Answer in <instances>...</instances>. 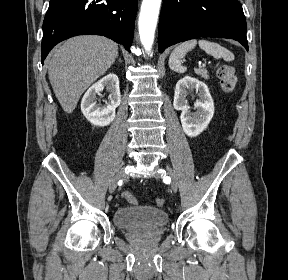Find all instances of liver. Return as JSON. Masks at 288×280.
I'll list each match as a JSON object with an SVG mask.
<instances>
[{
    "label": "liver",
    "mask_w": 288,
    "mask_h": 280,
    "mask_svg": "<svg viewBox=\"0 0 288 280\" xmlns=\"http://www.w3.org/2000/svg\"><path fill=\"white\" fill-rule=\"evenodd\" d=\"M117 56L118 45L96 35L73 37L54 51L48 75L66 113L76 108L84 91L105 74Z\"/></svg>",
    "instance_id": "liver-1"
}]
</instances>
